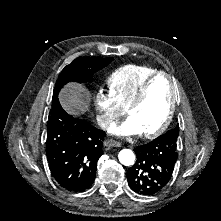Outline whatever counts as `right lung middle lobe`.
Segmentation results:
<instances>
[{"label": "right lung middle lobe", "mask_w": 221, "mask_h": 221, "mask_svg": "<svg viewBox=\"0 0 221 221\" xmlns=\"http://www.w3.org/2000/svg\"><path fill=\"white\" fill-rule=\"evenodd\" d=\"M113 58L79 57L64 67L58 76L53 92V101L58 98L60 89L68 82H91L93 74L106 67Z\"/></svg>", "instance_id": "obj_1"}]
</instances>
